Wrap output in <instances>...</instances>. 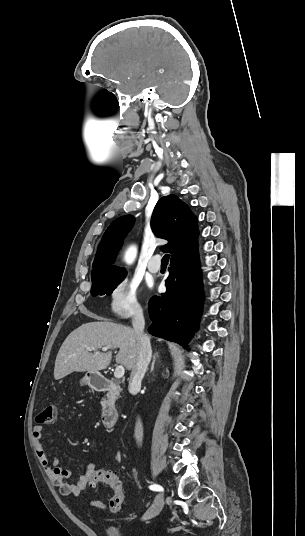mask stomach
Returning <instances> with one entry per match:
<instances>
[{
	"label": "stomach",
	"mask_w": 305,
	"mask_h": 536,
	"mask_svg": "<svg viewBox=\"0 0 305 536\" xmlns=\"http://www.w3.org/2000/svg\"><path fill=\"white\" fill-rule=\"evenodd\" d=\"M100 376L97 372H92V374H86L82 380H80L81 386H90V388H98Z\"/></svg>",
	"instance_id": "stomach-1"
}]
</instances>
